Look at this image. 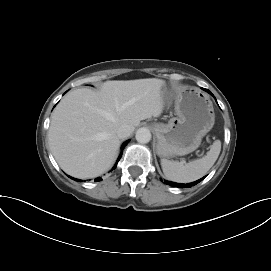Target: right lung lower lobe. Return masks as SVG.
Segmentation results:
<instances>
[{"label":"right lung lower lobe","mask_w":271,"mask_h":271,"mask_svg":"<svg viewBox=\"0 0 271 271\" xmlns=\"http://www.w3.org/2000/svg\"><path fill=\"white\" fill-rule=\"evenodd\" d=\"M129 141H126L123 145H122V151H123V148L125 147V145L128 143ZM122 151H121V153H120V155H119V157H118V159H117V161H116V164L114 165V167L112 168V170L114 169V168H116V166H117V163H118V161L120 160V158H121V156H122ZM70 178H72V177H70ZM73 180H77V181H81V180H78V179H75V178H72ZM101 180V178L100 177H98V178H96L95 179V181H100Z\"/></svg>","instance_id":"1"}]
</instances>
